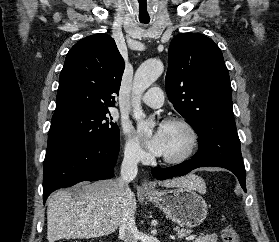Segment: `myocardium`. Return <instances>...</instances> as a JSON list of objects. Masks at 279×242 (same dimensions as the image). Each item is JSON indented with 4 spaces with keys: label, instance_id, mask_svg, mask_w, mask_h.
<instances>
[{
    "label": "myocardium",
    "instance_id": "1",
    "mask_svg": "<svg viewBox=\"0 0 279 242\" xmlns=\"http://www.w3.org/2000/svg\"><path fill=\"white\" fill-rule=\"evenodd\" d=\"M163 125H178L182 127L188 136L186 149L177 156H162V161L166 164L177 165L187 161L195 153L199 136L196 128L185 118L171 117L163 121Z\"/></svg>",
    "mask_w": 279,
    "mask_h": 242
}]
</instances>
